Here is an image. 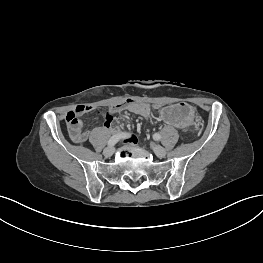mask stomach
I'll return each mask as SVG.
<instances>
[{
  "label": "stomach",
  "mask_w": 263,
  "mask_h": 263,
  "mask_svg": "<svg viewBox=\"0 0 263 263\" xmlns=\"http://www.w3.org/2000/svg\"><path fill=\"white\" fill-rule=\"evenodd\" d=\"M158 119L170 124L175 130L196 133L201 128V119L185 102H171L158 110Z\"/></svg>",
  "instance_id": "obj_1"
}]
</instances>
